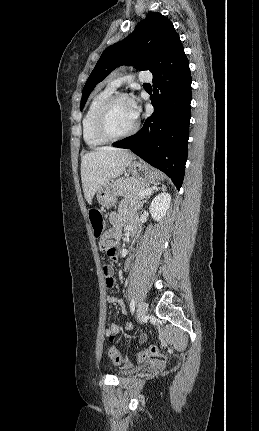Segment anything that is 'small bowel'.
Instances as JSON below:
<instances>
[{"instance_id":"small-bowel-1","label":"small bowel","mask_w":259,"mask_h":431,"mask_svg":"<svg viewBox=\"0 0 259 431\" xmlns=\"http://www.w3.org/2000/svg\"><path fill=\"white\" fill-rule=\"evenodd\" d=\"M128 216V210L126 207H122L119 212H113L109 216V222L111 227L108 231L105 233V238L109 239L114 245H116L117 241L119 240L121 234H122V227H123V221ZM131 269V260L128 258L124 263V270L129 271ZM103 273L105 276V285L108 288L113 287L115 283V277L113 275V269L110 266H104ZM107 301L109 303H117L121 308H124V303L114 297V296H108ZM133 329L132 324H128L125 327H120L117 324H112L107 330L106 334L108 336L112 334H118L123 331H130Z\"/></svg>"}]
</instances>
